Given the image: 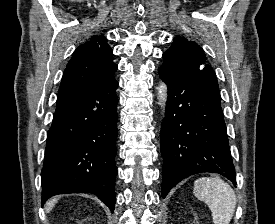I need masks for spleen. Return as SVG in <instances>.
I'll list each match as a JSON object with an SVG mask.
<instances>
[{
    "label": "spleen",
    "mask_w": 275,
    "mask_h": 224,
    "mask_svg": "<svg viewBox=\"0 0 275 224\" xmlns=\"http://www.w3.org/2000/svg\"><path fill=\"white\" fill-rule=\"evenodd\" d=\"M194 195L205 202L214 224H229L236 207V195L228 183L219 177H202L194 182Z\"/></svg>",
    "instance_id": "spleen-1"
}]
</instances>
